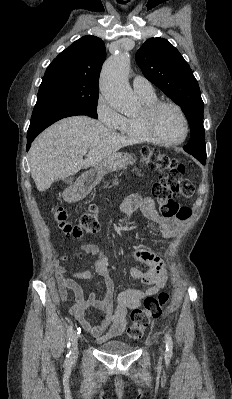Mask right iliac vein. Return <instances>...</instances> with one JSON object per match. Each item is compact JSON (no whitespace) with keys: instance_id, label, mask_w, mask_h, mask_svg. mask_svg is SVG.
Returning <instances> with one entry per match:
<instances>
[{"instance_id":"obj_1","label":"right iliac vein","mask_w":232,"mask_h":399,"mask_svg":"<svg viewBox=\"0 0 232 399\" xmlns=\"http://www.w3.org/2000/svg\"><path fill=\"white\" fill-rule=\"evenodd\" d=\"M79 333L78 332H75L74 333V335H73V337H72V347L73 348H76L77 347V345H78V340H79Z\"/></svg>"}]
</instances>
